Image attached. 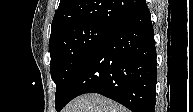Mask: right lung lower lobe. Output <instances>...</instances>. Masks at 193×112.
Returning a JSON list of instances; mask_svg holds the SVG:
<instances>
[{"label": "right lung lower lobe", "instance_id": "obj_1", "mask_svg": "<svg viewBox=\"0 0 193 112\" xmlns=\"http://www.w3.org/2000/svg\"><path fill=\"white\" fill-rule=\"evenodd\" d=\"M156 80L154 30L146 6L112 28L91 51L77 72L63 107L73 98L93 92L133 112H154Z\"/></svg>", "mask_w": 193, "mask_h": 112}]
</instances>
